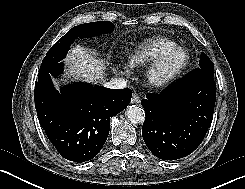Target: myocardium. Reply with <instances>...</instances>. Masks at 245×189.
<instances>
[{
    "label": "myocardium",
    "instance_id": "1",
    "mask_svg": "<svg viewBox=\"0 0 245 189\" xmlns=\"http://www.w3.org/2000/svg\"><path fill=\"white\" fill-rule=\"evenodd\" d=\"M176 52H183L185 59L178 66L167 69L169 58ZM191 62L190 52L183 46H173L164 51L148 68L146 78L152 87H164L178 78L189 66Z\"/></svg>",
    "mask_w": 245,
    "mask_h": 189
}]
</instances>
